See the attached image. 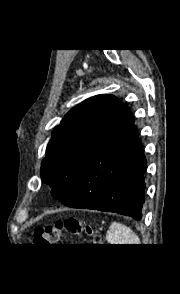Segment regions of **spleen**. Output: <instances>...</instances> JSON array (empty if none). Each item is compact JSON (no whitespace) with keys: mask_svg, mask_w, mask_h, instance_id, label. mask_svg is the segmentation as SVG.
I'll use <instances>...</instances> for the list:
<instances>
[{"mask_svg":"<svg viewBox=\"0 0 180 294\" xmlns=\"http://www.w3.org/2000/svg\"><path fill=\"white\" fill-rule=\"evenodd\" d=\"M110 244H140L139 237L126 225L113 222L106 234Z\"/></svg>","mask_w":180,"mask_h":294,"instance_id":"1","label":"spleen"}]
</instances>
